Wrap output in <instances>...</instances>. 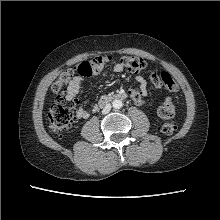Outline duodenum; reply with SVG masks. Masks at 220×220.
Listing matches in <instances>:
<instances>
[{"instance_id":"1","label":"duodenum","mask_w":220,"mask_h":220,"mask_svg":"<svg viewBox=\"0 0 220 220\" xmlns=\"http://www.w3.org/2000/svg\"><path fill=\"white\" fill-rule=\"evenodd\" d=\"M126 98H127V95L124 92H117V93H114V94H108V95L103 96L100 99L99 104H98L97 107L102 108V107H104L105 105L111 103L114 100L126 99Z\"/></svg>"}]
</instances>
